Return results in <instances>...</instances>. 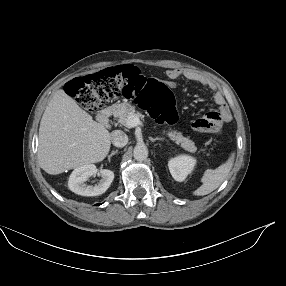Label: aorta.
Instances as JSON below:
<instances>
[{"mask_svg":"<svg viewBox=\"0 0 286 286\" xmlns=\"http://www.w3.org/2000/svg\"><path fill=\"white\" fill-rule=\"evenodd\" d=\"M133 155L137 161H143L148 157V149L144 145H137L134 148Z\"/></svg>","mask_w":286,"mask_h":286,"instance_id":"1","label":"aorta"}]
</instances>
